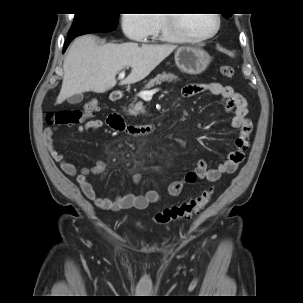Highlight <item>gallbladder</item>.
<instances>
[{"label":"gallbladder","instance_id":"bac80fb5","mask_svg":"<svg viewBox=\"0 0 303 303\" xmlns=\"http://www.w3.org/2000/svg\"><path fill=\"white\" fill-rule=\"evenodd\" d=\"M84 96L82 94H76L67 99L70 104H78L83 100Z\"/></svg>","mask_w":303,"mask_h":303}]
</instances>
